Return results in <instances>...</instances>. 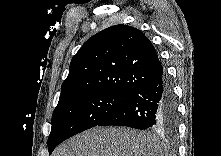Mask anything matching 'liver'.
Masks as SVG:
<instances>
[{
    "label": "liver",
    "instance_id": "obj_1",
    "mask_svg": "<svg viewBox=\"0 0 221 156\" xmlns=\"http://www.w3.org/2000/svg\"><path fill=\"white\" fill-rule=\"evenodd\" d=\"M160 138L125 127H95L62 143L52 156H163Z\"/></svg>",
    "mask_w": 221,
    "mask_h": 156
}]
</instances>
